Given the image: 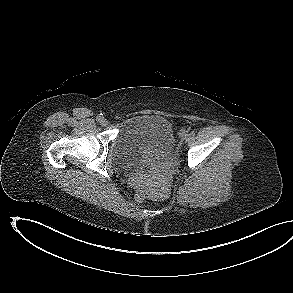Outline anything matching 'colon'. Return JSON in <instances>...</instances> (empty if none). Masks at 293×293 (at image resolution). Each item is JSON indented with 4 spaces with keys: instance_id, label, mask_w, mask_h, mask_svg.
Listing matches in <instances>:
<instances>
[{
    "instance_id": "5ec220e1",
    "label": "colon",
    "mask_w": 293,
    "mask_h": 293,
    "mask_svg": "<svg viewBox=\"0 0 293 293\" xmlns=\"http://www.w3.org/2000/svg\"><path fill=\"white\" fill-rule=\"evenodd\" d=\"M134 189L137 201H143L146 194L149 192L148 185L142 180H138L134 183Z\"/></svg>"
}]
</instances>
